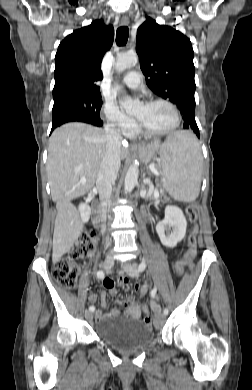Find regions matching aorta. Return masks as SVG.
Wrapping results in <instances>:
<instances>
[{"mask_svg":"<svg viewBox=\"0 0 252 390\" xmlns=\"http://www.w3.org/2000/svg\"><path fill=\"white\" fill-rule=\"evenodd\" d=\"M138 58L136 54H131V53H126L119 55L116 64H115V69L118 73L123 72L127 68H130L137 62ZM139 102L137 100H133L129 96H124L122 102H121V107H123L127 112H130L137 108ZM138 174H139V169L138 165L132 164L126 173L125 176V182H124V188L125 192H132L134 187L136 186L138 182Z\"/></svg>","mask_w":252,"mask_h":390,"instance_id":"obj_1","label":"aorta"}]
</instances>
